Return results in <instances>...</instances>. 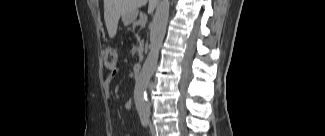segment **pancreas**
Returning a JSON list of instances; mask_svg holds the SVG:
<instances>
[{"label": "pancreas", "mask_w": 325, "mask_h": 136, "mask_svg": "<svg viewBox=\"0 0 325 136\" xmlns=\"http://www.w3.org/2000/svg\"><path fill=\"white\" fill-rule=\"evenodd\" d=\"M130 27H131V28H129L128 31H129V33L133 34V37H134V38H137V37H140V36H141L140 34L138 35V34L136 33V32H137V29H136V27H137V26H136V22H135V23H132Z\"/></svg>", "instance_id": "cf45deb5"}]
</instances>
